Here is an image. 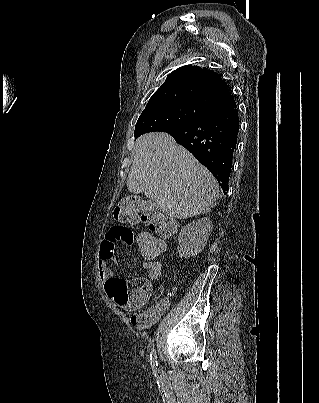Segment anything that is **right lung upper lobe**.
Here are the masks:
<instances>
[{
  "label": "right lung upper lobe",
  "mask_w": 319,
  "mask_h": 403,
  "mask_svg": "<svg viewBox=\"0 0 319 403\" xmlns=\"http://www.w3.org/2000/svg\"><path fill=\"white\" fill-rule=\"evenodd\" d=\"M193 103L217 112L237 107L226 83L214 71L186 65L168 75L148 104Z\"/></svg>",
  "instance_id": "cb5924a9"
}]
</instances>
